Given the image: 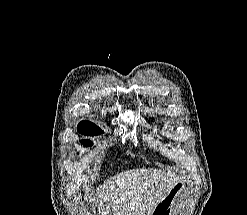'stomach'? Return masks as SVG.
Listing matches in <instances>:
<instances>
[{
	"label": "stomach",
	"mask_w": 247,
	"mask_h": 215,
	"mask_svg": "<svg viewBox=\"0 0 247 215\" xmlns=\"http://www.w3.org/2000/svg\"><path fill=\"white\" fill-rule=\"evenodd\" d=\"M186 191V183L181 179L176 180L154 206L150 215H175V205Z\"/></svg>",
	"instance_id": "obj_1"
}]
</instances>
